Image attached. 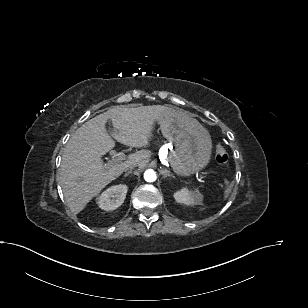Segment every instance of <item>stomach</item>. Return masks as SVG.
Returning a JSON list of instances; mask_svg holds the SVG:
<instances>
[{
    "instance_id": "obj_1",
    "label": "stomach",
    "mask_w": 308,
    "mask_h": 308,
    "mask_svg": "<svg viewBox=\"0 0 308 308\" xmlns=\"http://www.w3.org/2000/svg\"><path fill=\"white\" fill-rule=\"evenodd\" d=\"M158 122L163 136L175 145L168 160L177 174L190 176L207 166L212 149L211 137L196 119L184 111L172 109Z\"/></svg>"
}]
</instances>
